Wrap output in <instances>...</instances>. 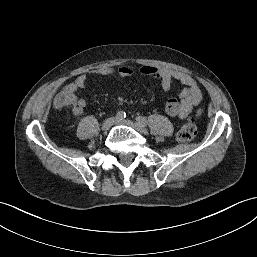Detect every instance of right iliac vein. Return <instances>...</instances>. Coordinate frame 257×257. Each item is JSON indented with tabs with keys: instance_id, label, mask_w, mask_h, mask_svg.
<instances>
[{
	"instance_id": "1",
	"label": "right iliac vein",
	"mask_w": 257,
	"mask_h": 257,
	"mask_svg": "<svg viewBox=\"0 0 257 257\" xmlns=\"http://www.w3.org/2000/svg\"><path fill=\"white\" fill-rule=\"evenodd\" d=\"M116 119H117V118H114V117L107 118V119L103 122V124H102V130H103V131L109 130V129L112 127V125L115 123Z\"/></svg>"
}]
</instances>
